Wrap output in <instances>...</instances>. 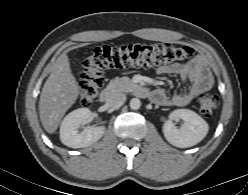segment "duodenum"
Returning a JSON list of instances; mask_svg holds the SVG:
<instances>
[{"label": "duodenum", "instance_id": "410a0bca", "mask_svg": "<svg viewBox=\"0 0 248 195\" xmlns=\"http://www.w3.org/2000/svg\"><path fill=\"white\" fill-rule=\"evenodd\" d=\"M133 93L138 97H149L150 90L140 84H135L133 86ZM115 95V89L113 87H106L100 91L99 100L103 103H110Z\"/></svg>", "mask_w": 248, "mask_h": 195}]
</instances>
